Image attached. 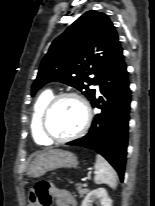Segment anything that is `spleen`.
<instances>
[{"instance_id": "3e777b00", "label": "spleen", "mask_w": 155, "mask_h": 206, "mask_svg": "<svg viewBox=\"0 0 155 206\" xmlns=\"http://www.w3.org/2000/svg\"><path fill=\"white\" fill-rule=\"evenodd\" d=\"M94 181L96 184H107L112 189L117 186L116 172L101 155L96 156Z\"/></svg>"}]
</instances>
